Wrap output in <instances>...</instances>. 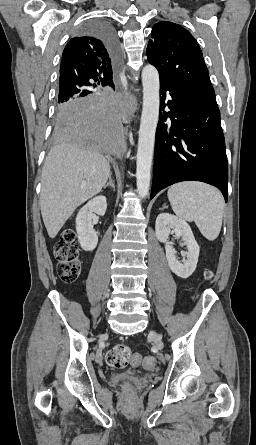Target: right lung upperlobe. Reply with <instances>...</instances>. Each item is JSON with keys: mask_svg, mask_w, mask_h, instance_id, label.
<instances>
[{"mask_svg": "<svg viewBox=\"0 0 256 445\" xmlns=\"http://www.w3.org/2000/svg\"><path fill=\"white\" fill-rule=\"evenodd\" d=\"M116 65L99 36L88 30L81 31L68 42L62 54L58 101L91 94L98 86L113 88Z\"/></svg>", "mask_w": 256, "mask_h": 445, "instance_id": "obj_1", "label": "right lung upper lobe"}]
</instances>
